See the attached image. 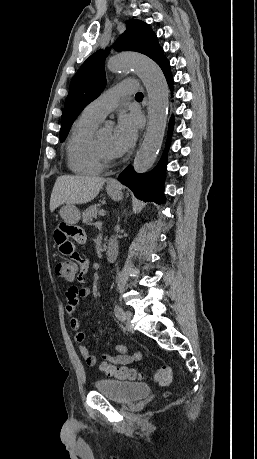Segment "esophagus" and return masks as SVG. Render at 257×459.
Returning <instances> with one entry per match:
<instances>
[{
    "mask_svg": "<svg viewBox=\"0 0 257 459\" xmlns=\"http://www.w3.org/2000/svg\"><path fill=\"white\" fill-rule=\"evenodd\" d=\"M145 104L147 105V98H145ZM110 184L111 185H117L118 183H117L116 180H112V181H110Z\"/></svg>",
    "mask_w": 257,
    "mask_h": 459,
    "instance_id": "obj_1",
    "label": "esophagus"
}]
</instances>
